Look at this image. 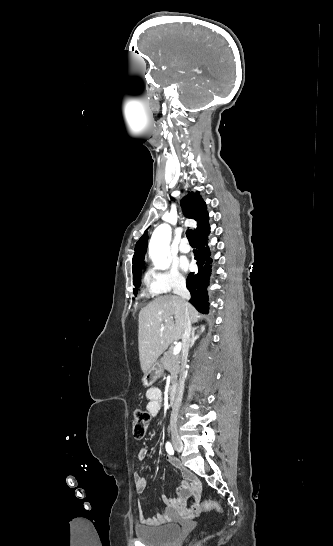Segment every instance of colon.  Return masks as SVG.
I'll list each match as a JSON object with an SVG mask.
<instances>
[{
  "label": "colon",
  "mask_w": 333,
  "mask_h": 546,
  "mask_svg": "<svg viewBox=\"0 0 333 546\" xmlns=\"http://www.w3.org/2000/svg\"><path fill=\"white\" fill-rule=\"evenodd\" d=\"M150 422V415L147 412L137 410L132 417V433L135 439L140 440L144 438L148 425ZM204 511L216 510L222 512L221 506L213 500H205L202 503Z\"/></svg>",
  "instance_id": "5ec220e1"
}]
</instances>
